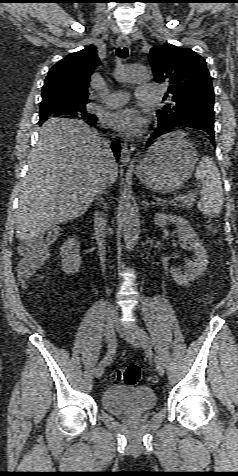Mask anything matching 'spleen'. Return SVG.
I'll return each instance as SVG.
<instances>
[{
    "label": "spleen",
    "mask_w": 238,
    "mask_h": 476,
    "mask_svg": "<svg viewBox=\"0 0 238 476\" xmlns=\"http://www.w3.org/2000/svg\"><path fill=\"white\" fill-rule=\"evenodd\" d=\"M195 176L202 184L199 210L207 216L219 215L224 203L222 182L216 164L209 157H203L196 169Z\"/></svg>",
    "instance_id": "spleen-1"
}]
</instances>
